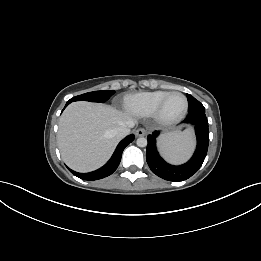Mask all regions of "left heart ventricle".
<instances>
[{
	"mask_svg": "<svg viewBox=\"0 0 261 261\" xmlns=\"http://www.w3.org/2000/svg\"><path fill=\"white\" fill-rule=\"evenodd\" d=\"M184 108V99L180 95H172L165 102L163 108L164 116L173 118L179 115Z\"/></svg>",
	"mask_w": 261,
	"mask_h": 261,
	"instance_id": "b2bd125f",
	"label": "left heart ventricle"
}]
</instances>
